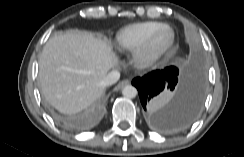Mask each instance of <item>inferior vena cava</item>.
Returning a JSON list of instances; mask_svg holds the SVG:
<instances>
[{
  "label": "inferior vena cava",
  "mask_w": 244,
  "mask_h": 157,
  "mask_svg": "<svg viewBox=\"0 0 244 157\" xmlns=\"http://www.w3.org/2000/svg\"><path fill=\"white\" fill-rule=\"evenodd\" d=\"M120 78V73L116 70L109 72L102 81L104 86H110L116 83Z\"/></svg>",
  "instance_id": "1"
}]
</instances>
